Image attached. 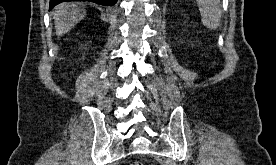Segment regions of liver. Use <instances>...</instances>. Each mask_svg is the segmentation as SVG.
I'll list each match as a JSON object with an SVG mask.
<instances>
[{"label":"liver","instance_id":"6515ba94","mask_svg":"<svg viewBox=\"0 0 276 165\" xmlns=\"http://www.w3.org/2000/svg\"><path fill=\"white\" fill-rule=\"evenodd\" d=\"M55 20L57 36H63L70 31L85 15V10H80L75 3H61L52 12Z\"/></svg>","mask_w":276,"mask_h":165}]
</instances>
